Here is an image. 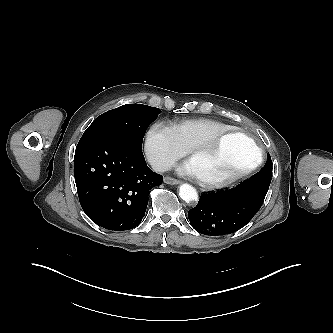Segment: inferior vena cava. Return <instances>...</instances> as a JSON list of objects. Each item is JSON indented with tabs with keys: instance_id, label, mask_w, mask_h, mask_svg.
<instances>
[{
	"instance_id": "1",
	"label": "inferior vena cava",
	"mask_w": 333,
	"mask_h": 333,
	"mask_svg": "<svg viewBox=\"0 0 333 333\" xmlns=\"http://www.w3.org/2000/svg\"><path fill=\"white\" fill-rule=\"evenodd\" d=\"M150 165L155 172H165L171 168V165L161 159H153L150 161Z\"/></svg>"
}]
</instances>
